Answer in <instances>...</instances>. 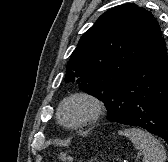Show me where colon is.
<instances>
[{
    "label": "colon",
    "instance_id": "obj_1",
    "mask_svg": "<svg viewBox=\"0 0 168 162\" xmlns=\"http://www.w3.org/2000/svg\"><path fill=\"white\" fill-rule=\"evenodd\" d=\"M57 158L61 162H71V160H72V157L67 153H59Z\"/></svg>",
    "mask_w": 168,
    "mask_h": 162
}]
</instances>
